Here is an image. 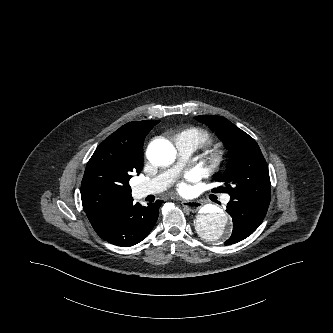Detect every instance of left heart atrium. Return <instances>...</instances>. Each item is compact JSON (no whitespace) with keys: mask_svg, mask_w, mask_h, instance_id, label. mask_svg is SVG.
<instances>
[{"mask_svg":"<svg viewBox=\"0 0 333 333\" xmlns=\"http://www.w3.org/2000/svg\"><path fill=\"white\" fill-rule=\"evenodd\" d=\"M197 178V174L194 171H191L189 173L186 174L185 176V180H182L178 183L177 187H178V191L180 193L186 194L190 192V186L188 185V181H194Z\"/></svg>","mask_w":333,"mask_h":333,"instance_id":"1","label":"left heart atrium"}]
</instances>
